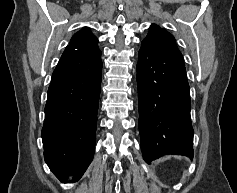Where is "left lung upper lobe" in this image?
<instances>
[{"label": "left lung upper lobe", "instance_id": "5c2ea615", "mask_svg": "<svg viewBox=\"0 0 237 193\" xmlns=\"http://www.w3.org/2000/svg\"><path fill=\"white\" fill-rule=\"evenodd\" d=\"M143 41L183 59L181 52L177 48L173 35L157 25H152L150 27L149 33Z\"/></svg>", "mask_w": 237, "mask_h": 193}]
</instances>
